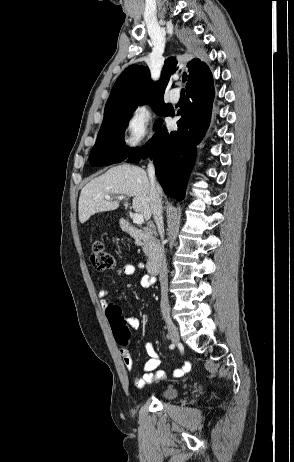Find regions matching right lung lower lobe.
Listing matches in <instances>:
<instances>
[{
	"mask_svg": "<svg viewBox=\"0 0 294 462\" xmlns=\"http://www.w3.org/2000/svg\"><path fill=\"white\" fill-rule=\"evenodd\" d=\"M186 91V104L178 112L182 115L177 122L178 130L168 132L160 126L152 139L127 159L133 163L147 155L153 157L156 176L165 193L178 200L184 198L196 157L195 146L209 127L215 95L212 74L192 83Z\"/></svg>",
	"mask_w": 294,
	"mask_h": 462,
	"instance_id": "98d812e1",
	"label": "right lung lower lobe"
}]
</instances>
